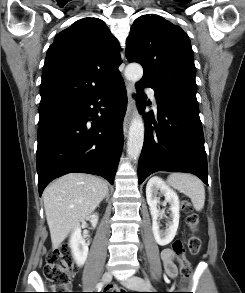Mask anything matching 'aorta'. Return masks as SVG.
Segmentation results:
<instances>
[{"label": "aorta", "mask_w": 245, "mask_h": 293, "mask_svg": "<svg viewBox=\"0 0 245 293\" xmlns=\"http://www.w3.org/2000/svg\"><path fill=\"white\" fill-rule=\"evenodd\" d=\"M125 77L132 82H138L143 76V68L138 63H130L125 68ZM144 123L142 118L137 115L133 118L129 128L127 141V154L130 158L139 157L144 142Z\"/></svg>", "instance_id": "762f6f07"}]
</instances>
